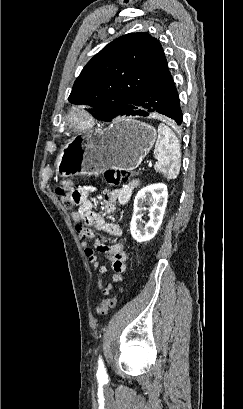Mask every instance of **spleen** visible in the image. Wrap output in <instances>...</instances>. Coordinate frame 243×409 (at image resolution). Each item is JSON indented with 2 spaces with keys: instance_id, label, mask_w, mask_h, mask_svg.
Wrapping results in <instances>:
<instances>
[{
  "instance_id": "obj_1",
  "label": "spleen",
  "mask_w": 243,
  "mask_h": 409,
  "mask_svg": "<svg viewBox=\"0 0 243 409\" xmlns=\"http://www.w3.org/2000/svg\"><path fill=\"white\" fill-rule=\"evenodd\" d=\"M154 156L157 159L155 170L168 179H175L180 170L181 149L176 134L165 124L158 126V138Z\"/></svg>"
}]
</instances>
